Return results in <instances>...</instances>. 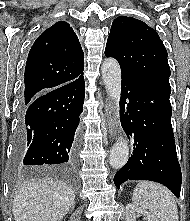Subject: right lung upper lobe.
Instances as JSON below:
<instances>
[{"label":"right lung upper lobe","instance_id":"right-lung-upper-lobe-1","mask_svg":"<svg viewBox=\"0 0 190 221\" xmlns=\"http://www.w3.org/2000/svg\"><path fill=\"white\" fill-rule=\"evenodd\" d=\"M83 51L67 22L46 29L33 44L25 68L23 102L83 75Z\"/></svg>","mask_w":190,"mask_h":221}]
</instances>
